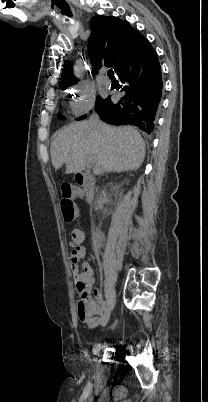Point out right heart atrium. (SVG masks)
<instances>
[{"mask_svg":"<svg viewBox=\"0 0 208 402\" xmlns=\"http://www.w3.org/2000/svg\"><path fill=\"white\" fill-rule=\"evenodd\" d=\"M71 108L76 115L89 109L95 101L96 90L89 82H78L71 87Z\"/></svg>","mask_w":208,"mask_h":402,"instance_id":"right-heart-atrium-1","label":"right heart atrium"}]
</instances>
